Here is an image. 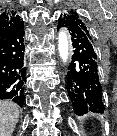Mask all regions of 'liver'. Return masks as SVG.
I'll use <instances>...</instances> for the list:
<instances>
[{
  "instance_id": "1",
  "label": "liver",
  "mask_w": 117,
  "mask_h": 136,
  "mask_svg": "<svg viewBox=\"0 0 117 136\" xmlns=\"http://www.w3.org/2000/svg\"><path fill=\"white\" fill-rule=\"evenodd\" d=\"M19 118L17 104L0 100V136H11Z\"/></svg>"
}]
</instances>
